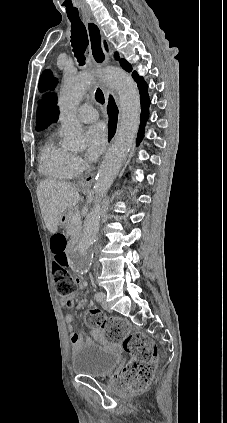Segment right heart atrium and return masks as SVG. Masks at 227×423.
I'll use <instances>...</instances> for the list:
<instances>
[{
  "label": "right heart atrium",
  "mask_w": 227,
  "mask_h": 423,
  "mask_svg": "<svg viewBox=\"0 0 227 423\" xmlns=\"http://www.w3.org/2000/svg\"><path fill=\"white\" fill-rule=\"evenodd\" d=\"M88 169V163L86 160L78 155L71 154L68 160V174L70 178H75L80 176Z\"/></svg>",
  "instance_id": "right-heart-atrium-1"
}]
</instances>
